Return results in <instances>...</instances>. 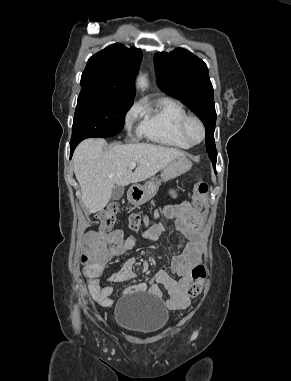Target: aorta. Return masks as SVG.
Returning <instances> with one entry per match:
<instances>
[{
  "label": "aorta",
  "instance_id": "aorta-1",
  "mask_svg": "<svg viewBox=\"0 0 291 381\" xmlns=\"http://www.w3.org/2000/svg\"><path fill=\"white\" fill-rule=\"evenodd\" d=\"M138 86L142 89L147 86V78L145 76H140L138 78Z\"/></svg>",
  "mask_w": 291,
  "mask_h": 381
}]
</instances>
